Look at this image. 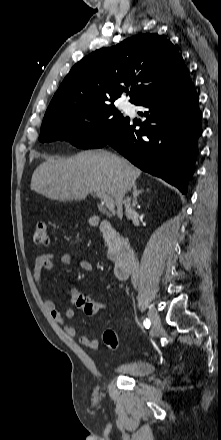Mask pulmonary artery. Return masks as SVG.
<instances>
[{
	"label": "pulmonary artery",
	"mask_w": 221,
	"mask_h": 440,
	"mask_svg": "<svg viewBox=\"0 0 221 440\" xmlns=\"http://www.w3.org/2000/svg\"><path fill=\"white\" fill-rule=\"evenodd\" d=\"M122 107H123V109H125V110H131V105H130V103H128V102H123V103H122Z\"/></svg>",
	"instance_id": "e3ab8cb5"
}]
</instances>
